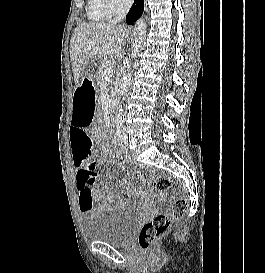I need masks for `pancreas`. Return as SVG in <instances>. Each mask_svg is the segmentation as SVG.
<instances>
[{"mask_svg": "<svg viewBox=\"0 0 265 273\" xmlns=\"http://www.w3.org/2000/svg\"><path fill=\"white\" fill-rule=\"evenodd\" d=\"M114 62V58L112 56H110L109 58H105L101 63L100 66L97 69V72L95 74V77L97 79V83L99 85H101L102 83H104V72L105 70L110 66V64ZM119 78L118 76H116L114 78L113 83L116 84L118 82Z\"/></svg>", "mask_w": 265, "mask_h": 273, "instance_id": "obj_1", "label": "pancreas"}]
</instances>
